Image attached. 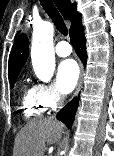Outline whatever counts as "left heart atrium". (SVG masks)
<instances>
[{
	"label": "left heart atrium",
	"mask_w": 114,
	"mask_h": 156,
	"mask_svg": "<svg viewBox=\"0 0 114 156\" xmlns=\"http://www.w3.org/2000/svg\"><path fill=\"white\" fill-rule=\"evenodd\" d=\"M79 67L73 59L62 61L57 69V86L62 93L71 92L77 84Z\"/></svg>",
	"instance_id": "obj_1"
}]
</instances>
